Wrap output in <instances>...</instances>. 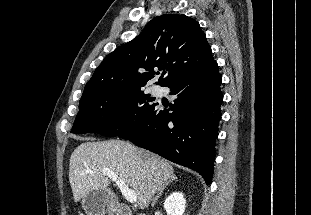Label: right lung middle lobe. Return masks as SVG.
Segmentation results:
<instances>
[{"mask_svg":"<svg viewBox=\"0 0 311 215\" xmlns=\"http://www.w3.org/2000/svg\"><path fill=\"white\" fill-rule=\"evenodd\" d=\"M142 89L106 93L80 101L72 133L118 136L137 126L157 104Z\"/></svg>","mask_w":311,"mask_h":215,"instance_id":"1","label":"right lung middle lobe"}]
</instances>
